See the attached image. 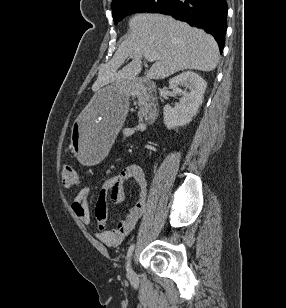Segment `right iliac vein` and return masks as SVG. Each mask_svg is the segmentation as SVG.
Instances as JSON below:
<instances>
[{"mask_svg": "<svg viewBox=\"0 0 286 308\" xmlns=\"http://www.w3.org/2000/svg\"><path fill=\"white\" fill-rule=\"evenodd\" d=\"M134 275H135V272H134V269H133V264H132V261H130L129 269H128V276L130 278H133Z\"/></svg>", "mask_w": 286, "mask_h": 308, "instance_id": "right-iliac-vein-1", "label": "right iliac vein"}]
</instances>
